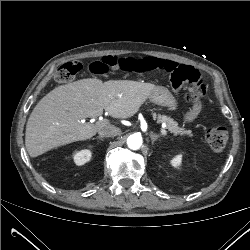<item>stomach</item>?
Masks as SVG:
<instances>
[{"instance_id": "stomach-1", "label": "stomach", "mask_w": 250, "mask_h": 250, "mask_svg": "<svg viewBox=\"0 0 250 250\" xmlns=\"http://www.w3.org/2000/svg\"><path fill=\"white\" fill-rule=\"evenodd\" d=\"M149 100L157 105L167 107L171 111H176L178 109L175 97L165 87H156L150 94Z\"/></svg>"}]
</instances>
